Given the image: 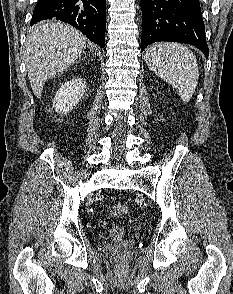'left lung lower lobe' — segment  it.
<instances>
[{
	"label": "left lung lower lobe",
	"mask_w": 233,
	"mask_h": 294,
	"mask_svg": "<svg viewBox=\"0 0 233 294\" xmlns=\"http://www.w3.org/2000/svg\"><path fill=\"white\" fill-rule=\"evenodd\" d=\"M141 51L158 41L191 44L209 55L199 0H141Z\"/></svg>",
	"instance_id": "0a47b994"
}]
</instances>
